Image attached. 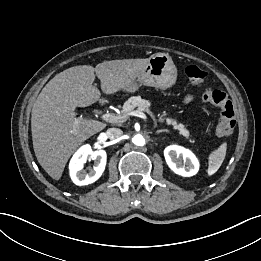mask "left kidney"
<instances>
[{"label":"left kidney","mask_w":261,"mask_h":261,"mask_svg":"<svg viewBox=\"0 0 261 261\" xmlns=\"http://www.w3.org/2000/svg\"><path fill=\"white\" fill-rule=\"evenodd\" d=\"M165 160L170 169L183 177L195 175L199 170L196 156L188 149L171 145L164 150Z\"/></svg>","instance_id":"1"}]
</instances>
